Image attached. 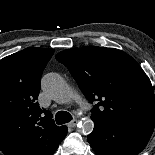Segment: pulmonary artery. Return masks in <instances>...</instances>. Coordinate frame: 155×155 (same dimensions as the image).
<instances>
[{"instance_id": "obj_1", "label": "pulmonary artery", "mask_w": 155, "mask_h": 155, "mask_svg": "<svg viewBox=\"0 0 155 155\" xmlns=\"http://www.w3.org/2000/svg\"><path fill=\"white\" fill-rule=\"evenodd\" d=\"M80 99V98H79ZM80 106H81V108H86L87 107V103L86 102H84V101H81L80 100Z\"/></svg>"}]
</instances>
